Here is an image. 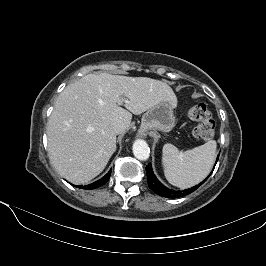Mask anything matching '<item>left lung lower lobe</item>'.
Instances as JSON below:
<instances>
[{
  "label": "left lung lower lobe",
  "instance_id": "left-lung-lower-lobe-1",
  "mask_svg": "<svg viewBox=\"0 0 266 266\" xmlns=\"http://www.w3.org/2000/svg\"><path fill=\"white\" fill-rule=\"evenodd\" d=\"M219 157V155H218ZM218 157H217V160H218ZM216 160V162H217ZM214 169V168H213ZM213 172V171H212ZM211 172V173H212ZM146 173H147V180H148V186L149 188L154 192L156 193L157 195L159 196H162V197H166V198H179V197H183L185 195H188L190 193H192L193 191H195L200 185H202L206 180L207 178L202 181L200 184L192 187V188H189V189H185V190H173V189H169L167 187H165L155 176L153 170H152V167H151V164H148L146 166ZM210 173V174H211Z\"/></svg>",
  "mask_w": 266,
  "mask_h": 266
}]
</instances>
